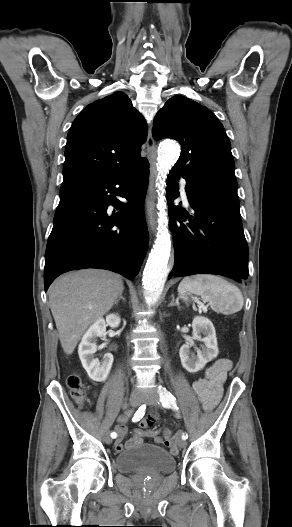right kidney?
Returning <instances> with one entry per match:
<instances>
[{"label":"right kidney","mask_w":292,"mask_h":527,"mask_svg":"<svg viewBox=\"0 0 292 527\" xmlns=\"http://www.w3.org/2000/svg\"><path fill=\"white\" fill-rule=\"evenodd\" d=\"M119 324L120 317L117 314H110L106 317V320L101 318L94 322L82 337L81 343L78 347V354L82 366L93 381H105L113 363V355L111 353L105 354L102 363L94 357V354L97 351V338L105 335L107 325L115 328L118 327Z\"/></svg>","instance_id":"1"}]
</instances>
